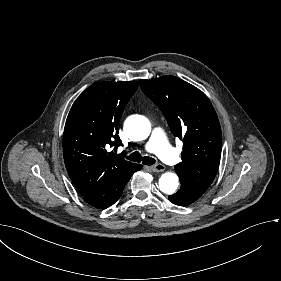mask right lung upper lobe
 <instances>
[{"instance_id":"cb5924a9","label":"right lung upper lobe","mask_w":281,"mask_h":281,"mask_svg":"<svg viewBox=\"0 0 281 281\" xmlns=\"http://www.w3.org/2000/svg\"><path fill=\"white\" fill-rule=\"evenodd\" d=\"M138 82H99L88 87L68 114L64 135V162L82 196L89 195L133 170L137 164L114 151L121 145L117 125Z\"/></svg>"}]
</instances>
